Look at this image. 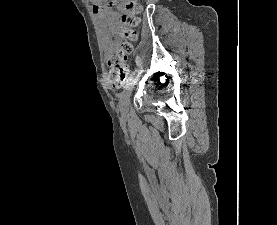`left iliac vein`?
Wrapping results in <instances>:
<instances>
[{
    "instance_id": "obj_1",
    "label": "left iliac vein",
    "mask_w": 277,
    "mask_h": 225,
    "mask_svg": "<svg viewBox=\"0 0 277 225\" xmlns=\"http://www.w3.org/2000/svg\"><path fill=\"white\" fill-rule=\"evenodd\" d=\"M137 77H134L124 88L120 100H119V109L121 112V115L123 117H126L129 111V105H130V99L131 94L134 89V86L137 82Z\"/></svg>"
}]
</instances>
